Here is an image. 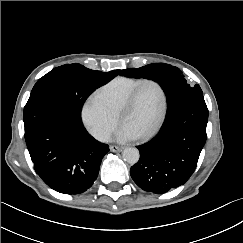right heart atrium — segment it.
<instances>
[{
	"mask_svg": "<svg viewBox=\"0 0 243 243\" xmlns=\"http://www.w3.org/2000/svg\"><path fill=\"white\" fill-rule=\"evenodd\" d=\"M82 120L96 139L104 141L114 131L118 123V116L95 92L88 97L83 105Z\"/></svg>",
	"mask_w": 243,
	"mask_h": 243,
	"instance_id": "d8ad5b80",
	"label": "right heart atrium"
}]
</instances>
